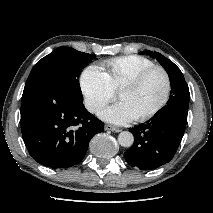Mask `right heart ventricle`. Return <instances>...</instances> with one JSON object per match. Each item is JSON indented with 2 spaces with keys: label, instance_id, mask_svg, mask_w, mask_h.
<instances>
[{
  "label": "right heart ventricle",
  "instance_id": "e07e8e85",
  "mask_svg": "<svg viewBox=\"0 0 213 213\" xmlns=\"http://www.w3.org/2000/svg\"><path fill=\"white\" fill-rule=\"evenodd\" d=\"M153 66L151 60L139 55L120 56L103 62L104 72L114 91L142 70Z\"/></svg>",
  "mask_w": 213,
  "mask_h": 213
}]
</instances>
